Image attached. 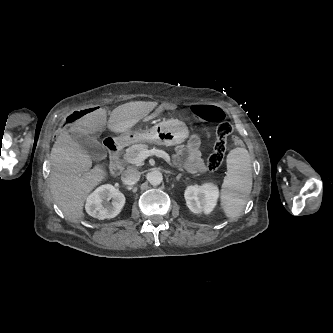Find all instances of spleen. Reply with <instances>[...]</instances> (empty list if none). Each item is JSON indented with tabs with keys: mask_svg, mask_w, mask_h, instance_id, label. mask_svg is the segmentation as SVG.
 <instances>
[{
	"mask_svg": "<svg viewBox=\"0 0 333 333\" xmlns=\"http://www.w3.org/2000/svg\"><path fill=\"white\" fill-rule=\"evenodd\" d=\"M251 189V156L246 148H235L227 156V175L221 190V205L229 219L242 213Z\"/></svg>",
	"mask_w": 333,
	"mask_h": 333,
	"instance_id": "1",
	"label": "spleen"
}]
</instances>
